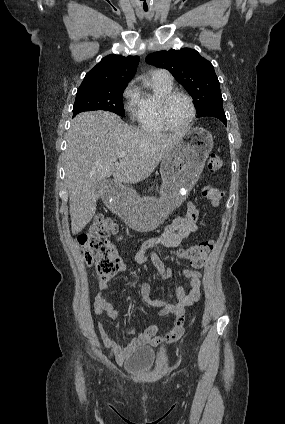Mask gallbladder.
<instances>
[{
    "mask_svg": "<svg viewBox=\"0 0 285 424\" xmlns=\"http://www.w3.org/2000/svg\"><path fill=\"white\" fill-rule=\"evenodd\" d=\"M110 183L109 180H100L97 184H96V189H95V193L97 195V197H102L103 196V192L105 190V187Z\"/></svg>",
    "mask_w": 285,
    "mask_h": 424,
    "instance_id": "bac80fb5",
    "label": "gallbladder"
}]
</instances>
